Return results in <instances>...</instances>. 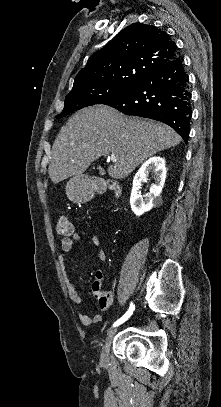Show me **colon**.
<instances>
[{
    "mask_svg": "<svg viewBox=\"0 0 221 407\" xmlns=\"http://www.w3.org/2000/svg\"><path fill=\"white\" fill-rule=\"evenodd\" d=\"M57 232L61 236H70L74 232V225L68 215H62L57 223ZM94 290L97 292H102V287L100 284L94 286ZM110 302L107 300H102L99 302V306L101 309L106 310L108 309Z\"/></svg>",
    "mask_w": 221,
    "mask_h": 407,
    "instance_id": "5ec220e1",
    "label": "colon"
}]
</instances>
